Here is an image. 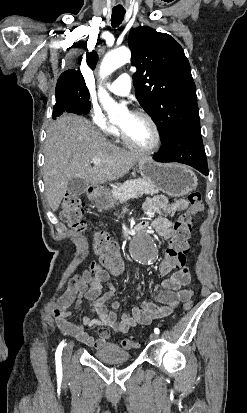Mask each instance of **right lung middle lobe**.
<instances>
[{"instance_id": "1", "label": "right lung middle lobe", "mask_w": 247, "mask_h": 413, "mask_svg": "<svg viewBox=\"0 0 247 413\" xmlns=\"http://www.w3.org/2000/svg\"><path fill=\"white\" fill-rule=\"evenodd\" d=\"M90 95L85 81H65L57 82L56 100L70 99L84 107L85 111H90Z\"/></svg>"}]
</instances>
